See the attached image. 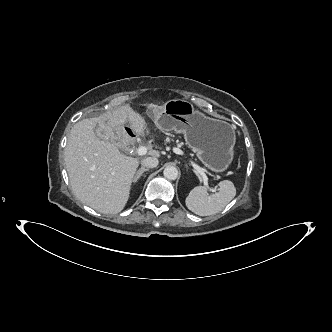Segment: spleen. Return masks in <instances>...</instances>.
I'll return each instance as SVG.
<instances>
[{
    "mask_svg": "<svg viewBox=\"0 0 332 332\" xmlns=\"http://www.w3.org/2000/svg\"><path fill=\"white\" fill-rule=\"evenodd\" d=\"M236 195V188L229 180L219 183V191L208 195L203 186L193 188L186 197L185 203L190 211L199 216L219 213Z\"/></svg>",
    "mask_w": 332,
    "mask_h": 332,
    "instance_id": "1",
    "label": "spleen"
}]
</instances>
